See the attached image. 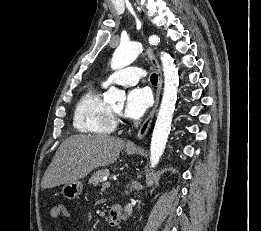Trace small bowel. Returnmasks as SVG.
<instances>
[{
    "label": "small bowel",
    "mask_w": 261,
    "mask_h": 231,
    "mask_svg": "<svg viewBox=\"0 0 261 231\" xmlns=\"http://www.w3.org/2000/svg\"><path fill=\"white\" fill-rule=\"evenodd\" d=\"M69 213L63 204H55L50 210V217L57 219L60 216H68Z\"/></svg>",
    "instance_id": "c3829d8e"
}]
</instances>
